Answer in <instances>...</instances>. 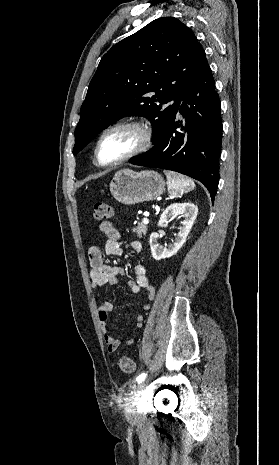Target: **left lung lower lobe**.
<instances>
[{
  "label": "left lung lower lobe",
  "mask_w": 279,
  "mask_h": 465,
  "mask_svg": "<svg viewBox=\"0 0 279 465\" xmlns=\"http://www.w3.org/2000/svg\"><path fill=\"white\" fill-rule=\"evenodd\" d=\"M181 101L179 111L185 117L186 126L174 119L162 138L146 153L130 159V163L190 176L204 184L213 201L219 180L222 118L206 55ZM177 127L181 128L180 132L176 131Z\"/></svg>",
  "instance_id": "1"
}]
</instances>
